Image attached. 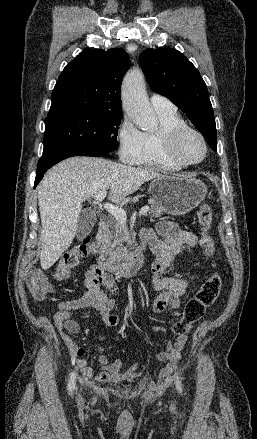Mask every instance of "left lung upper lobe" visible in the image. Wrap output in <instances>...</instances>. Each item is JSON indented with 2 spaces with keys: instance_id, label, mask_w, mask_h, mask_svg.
Here are the masks:
<instances>
[{
  "instance_id": "obj_1",
  "label": "left lung upper lobe",
  "mask_w": 257,
  "mask_h": 439,
  "mask_svg": "<svg viewBox=\"0 0 257 439\" xmlns=\"http://www.w3.org/2000/svg\"><path fill=\"white\" fill-rule=\"evenodd\" d=\"M140 64L150 88L170 99L188 115L217 151V133L208 90L199 71L174 48L145 50Z\"/></svg>"
}]
</instances>
